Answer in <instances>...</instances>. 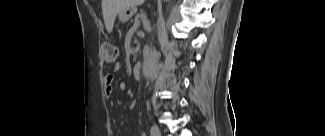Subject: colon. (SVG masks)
<instances>
[{
    "instance_id": "obj_1",
    "label": "colon",
    "mask_w": 325,
    "mask_h": 136,
    "mask_svg": "<svg viewBox=\"0 0 325 136\" xmlns=\"http://www.w3.org/2000/svg\"><path fill=\"white\" fill-rule=\"evenodd\" d=\"M103 58L107 63H114L119 55L118 48L111 43H104L102 45Z\"/></svg>"
}]
</instances>
